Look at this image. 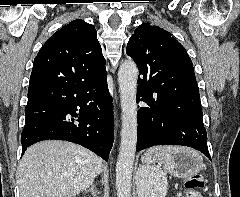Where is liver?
<instances>
[{
	"mask_svg": "<svg viewBox=\"0 0 240 197\" xmlns=\"http://www.w3.org/2000/svg\"><path fill=\"white\" fill-rule=\"evenodd\" d=\"M102 168V159L78 144L36 143L19 163L20 197H74L93 184Z\"/></svg>",
	"mask_w": 240,
	"mask_h": 197,
	"instance_id": "1",
	"label": "liver"
}]
</instances>
